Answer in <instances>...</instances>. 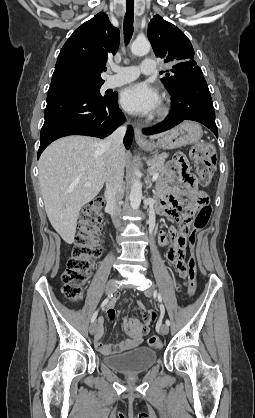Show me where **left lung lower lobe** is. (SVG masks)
<instances>
[{
    "label": "left lung lower lobe",
    "instance_id": "obj_1",
    "mask_svg": "<svg viewBox=\"0 0 255 418\" xmlns=\"http://www.w3.org/2000/svg\"><path fill=\"white\" fill-rule=\"evenodd\" d=\"M170 95L171 113L159 125L144 128L142 130L144 134L160 133L173 128L184 120H193L204 124L218 137L215 111L203 74L183 81Z\"/></svg>",
    "mask_w": 255,
    "mask_h": 418
}]
</instances>
